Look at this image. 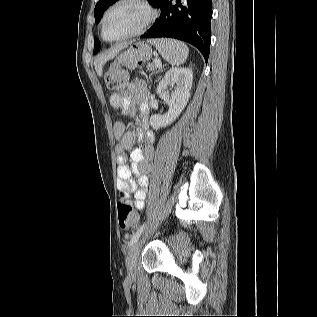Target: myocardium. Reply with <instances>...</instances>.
<instances>
[{"label": "myocardium", "instance_id": "f54148a6", "mask_svg": "<svg viewBox=\"0 0 317 317\" xmlns=\"http://www.w3.org/2000/svg\"><path fill=\"white\" fill-rule=\"evenodd\" d=\"M126 3H132V4H137L140 7H142L145 12H146V19L144 20L143 24L138 27L137 29L121 36L115 39H108L105 36V22L106 19L108 17V15L119 5L121 4H126ZM157 12L155 10V8L147 1V0H117L115 1L112 5H110L107 10L105 11L103 17H102V21H101V36L102 38L107 41V42H119V41H123L138 35L143 34L145 31H147L149 29V27L152 25V23L154 22L155 18H156Z\"/></svg>", "mask_w": 317, "mask_h": 317}]
</instances>
